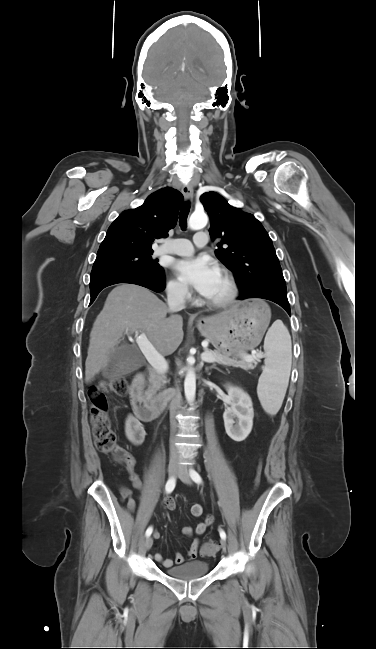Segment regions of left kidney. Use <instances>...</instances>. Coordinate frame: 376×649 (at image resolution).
I'll return each mask as SVG.
<instances>
[{"label": "left kidney", "mask_w": 376, "mask_h": 649, "mask_svg": "<svg viewBox=\"0 0 376 649\" xmlns=\"http://www.w3.org/2000/svg\"><path fill=\"white\" fill-rule=\"evenodd\" d=\"M230 407L223 414L224 426L228 436L240 442L246 439L253 427V404L241 388L226 385Z\"/></svg>", "instance_id": "obj_1"}]
</instances>
